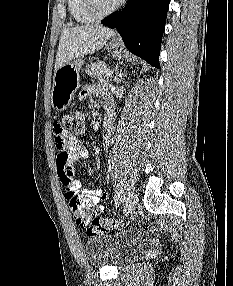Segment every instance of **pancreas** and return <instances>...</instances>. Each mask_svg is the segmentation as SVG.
Masks as SVG:
<instances>
[{"mask_svg": "<svg viewBox=\"0 0 233 286\" xmlns=\"http://www.w3.org/2000/svg\"><path fill=\"white\" fill-rule=\"evenodd\" d=\"M107 69L104 62H97L88 66L85 70V73L92 78L103 80L109 76L104 73V70Z\"/></svg>", "mask_w": 233, "mask_h": 286, "instance_id": "cf45deb5", "label": "pancreas"}]
</instances>
